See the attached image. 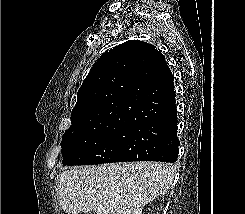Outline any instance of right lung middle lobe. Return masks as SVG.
Returning a JSON list of instances; mask_svg holds the SVG:
<instances>
[{"label":"right lung middle lobe","instance_id":"1","mask_svg":"<svg viewBox=\"0 0 245 214\" xmlns=\"http://www.w3.org/2000/svg\"><path fill=\"white\" fill-rule=\"evenodd\" d=\"M128 132L119 124L97 130L66 131L62 137L63 165H93L118 160V147Z\"/></svg>","mask_w":245,"mask_h":214}]
</instances>
